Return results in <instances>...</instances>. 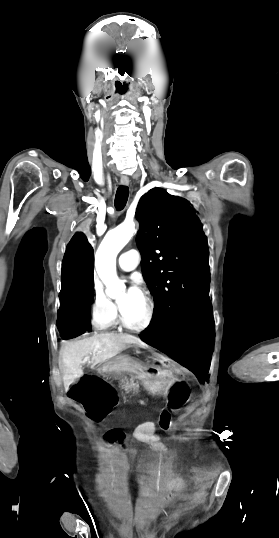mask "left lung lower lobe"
Instances as JSON below:
<instances>
[{"label": "left lung lower lobe", "instance_id": "1", "mask_svg": "<svg viewBox=\"0 0 279 538\" xmlns=\"http://www.w3.org/2000/svg\"><path fill=\"white\" fill-rule=\"evenodd\" d=\"M140 338L191 370L200 381L206 378L214 344V319L209 296L193 303L169 329Z\"/></svg>", "mask_w": 279, "mask_h": 538}]
</instances>
